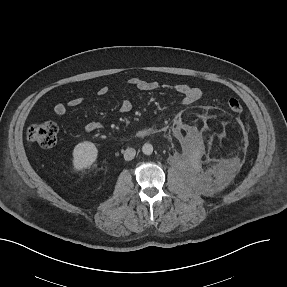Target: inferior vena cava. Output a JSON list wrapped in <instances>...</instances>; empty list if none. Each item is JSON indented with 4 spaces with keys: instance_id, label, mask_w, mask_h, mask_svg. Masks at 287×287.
Segmentation results:
<instances>
[{
    "instance_id": "inferior-vena-cava-1",
    "label": "inferior vena cava",
    "mask_w": 287,
    "mask_h": 287,
    "mask_svg": "<svg viewBox=\"0 0 287 287\" xmlns=\"http://www.w3.org/2000/svg\"><path fill=\"white\" fill-rule=\"evenodd\" d=\"M136 155V151L134 148H127L124 152V159L126 161L132 160Z\"/></svg>"
}]
</instances>
